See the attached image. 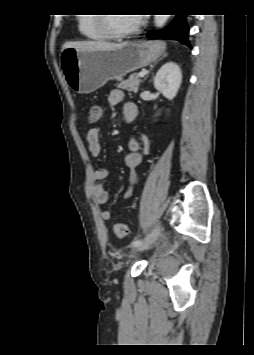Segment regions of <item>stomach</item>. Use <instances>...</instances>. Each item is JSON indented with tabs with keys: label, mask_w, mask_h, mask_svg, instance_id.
Instances as JSON below:
<instances>
[{
	"label": "stomach",
	"mask_w": 254,
	"mask_h": 355,
	"mask_svg": "<svg viewBox=\"0 0 254 355\" xmlns=\"http://www.w3.org/2000/svg\"><path fill=\"white\" fill-rule=\"evenodd\" d=\"M165 49L162 41L126 42L119 48L105 50L65 48L60 54V64L70 88L76 93L89 94L109 80L157 61Z\"/></svg>",
	"instance_id": "0dacf381"
}]
</instances>
